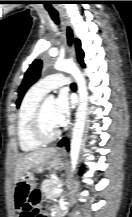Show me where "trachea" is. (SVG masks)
<instances>
[{"label":"trachea","instance_id":"1","mask_svg":"<svg viewBox=\"0 0 132 217\" xmlns=\"http://www.w3.org/2000/svg\"><path fill=\"white\" fill-rule=\"evenodd\" d=\"M50 16H51L52 20H53L57 25H59L60 20H59L58 14H57V13H50ZM71 87H72V88H76V84H75V83H72V84H71Z\"/></svg>","mask_w":132,"mask_h":217}]
</instances>
